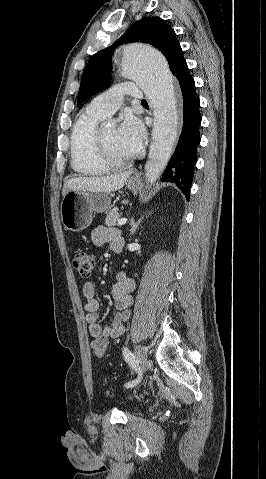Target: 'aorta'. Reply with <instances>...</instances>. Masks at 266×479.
<instances>
[{
    "label": "aorta",
    "mask_w": 266,
    "mask_h": 479,
    "mask_svg": "<svg viewBox=\"0 0 266 479\" xmlns=\"http://www.w3.org/2000/svg\"><path fill=\"white\" fill-rule=\"evenodd\" d=\"M121 66L123 76L144 91L154 109L152 141L145 164L146 180L153 183L166 168L178 135L175 81L162 54L142 43L123 48Z\"/></svg>",
    "instance_id": "aorta-1"
}]
</instances>
